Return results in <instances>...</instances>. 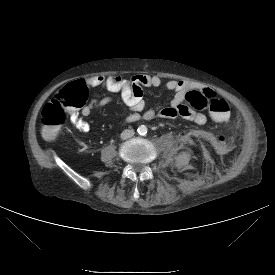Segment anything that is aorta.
<instances>
[{"label":"aorta","mask_w":275,"mask_h":275,"mask_svg":"<svg viewBox=\"0 0 275 275\" xmlns=\"http://www.w3.org/2000/svg\"><path fill=\"white\" fill-rule=\"evenodd\" d=\"M137 131L140 135H145L147 133V127L144 125H141L138 127Z\"/></svg>","instance_id":"obj_1"}]
</instances>
